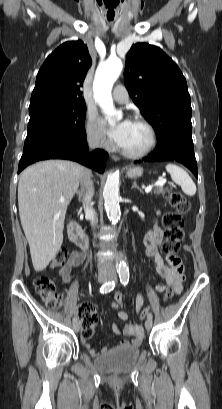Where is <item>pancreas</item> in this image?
Returning a JSON list of instances; mask_svg holds the SVG:
<instances>
[{
  "instance_id": "1",
  "label": "pancreas",
  "mask_w": 222,
  "mask_h": 409,
  "mask_svg": "<svg viewBox=\"0 0 222 409\" xmlns=\"http://www.w3.org/2000/svg\"><path fill=\"white\" fill-rule=\"evenodd\" d=\"M164 193V189L161 187H158L157 189L154 190V194L159 195V194H163Z\"/></svg>"
}]
</instances>
